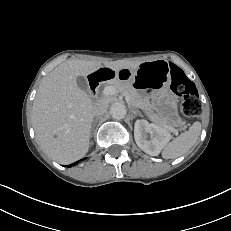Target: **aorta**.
Listing matches in <instances>:
<instances>
[{
  "label": "aorta",
  "mask_w": 231,
  "mask_h": 231,
  "mask_svg": "<svg viewBox=\"0 0 231 231\" xmlns=\"http://www.w3.org/2000/svg\"><path fill=\"white\" fill-rule=\"evenodd\" d=\"M110 111H111V116L114 119H118V120L123 119L127 113L124 104L119 102L113 103L111 105Z\"/></svg>",
  "instance_id": "762f6f07"
}]
</instances>
